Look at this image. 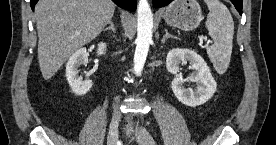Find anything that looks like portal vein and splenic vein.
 I'll use <instances>...</instances> for the list:
<instances>
[{"instance_id": "18ae733b", "label": "portal vein and splenic vein", "mask_w": 276, "mask_h": 145, "mask_svg": "<svg viewBox=\"0 0 276 145\" xmlns=\"http://www.w3.org/2000/svg\"><path fill=\"white\" fill-rule=\"evenodd\" d=\"M207 43L209 44V43H212L211 41H207Z\"/></svg>"}]
</instances>
